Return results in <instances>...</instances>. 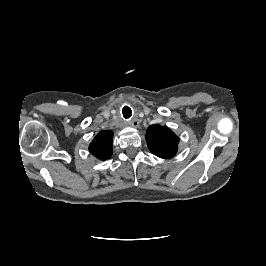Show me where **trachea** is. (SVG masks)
<instances>
[{"mask_svg":"<svg viewBox=\"0 0 266 266\" xmlns=\"http://www.w3.org/2000/svg\"><path fill=\"white\" fill-rule=\"evenodd\" d=\"M122 113H123V117L126 119H128L132 116V111H131L130 107H128V106L123 107Z\"/></svg>","mask_w":266,"mask_h":266,"instance_id":"3493384b","label":"trachea"}]
</instances>
